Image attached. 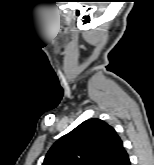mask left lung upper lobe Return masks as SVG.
<instances>
[{
  "label": "left lung upper lobe",
  "instance_id": "5c2ea615",
  "mask_svg": "<svg viewBox=\"0 0 154 165\" xmlns=\"http://www.w3.org/2000/svg\"><path fill=\"white\" fill-rule=\"evenodd\" d=\"M122 141L107 123L93 118L62 136L42 165H117Z\"/></svg>",
  "mask_w": 154,
  "mask_h": 165
}]
</instances>
